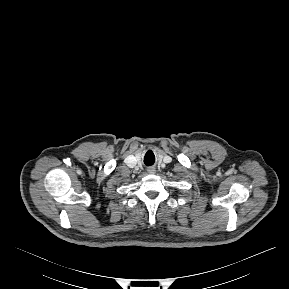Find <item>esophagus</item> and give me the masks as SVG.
Listing matches in <instances>:
<instances>
[{
	"label": "esophagus",
	"mask_w": 289,
	"mask_h": 289,
	"mask_svg": "<svg viewBox=\"0 0 289 289\" xmlns=\"http://www.w3.org/2000/svg\"><path fill=\"white\" fill-rule=\"evenodd\" d=\"M154 171H155V170H154L153 168H150V169L148 170L149 173H154Z\"/></svg>",
	"instance_id": "esophagus-1"
}]
</instances>
